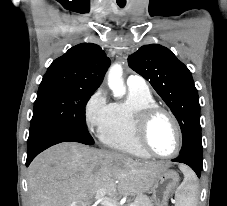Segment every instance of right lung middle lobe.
Instances as JSON below:
<instances>
[{
  "label": "right lung middle lobe",
  "mask_w": 227,
  "mask_h": 206,
  "mask_svg": "<svg viewBox=\"0 0 227 206\" xmlns=\"http://www.w3.org/2000/svg\"><path fill=\"white\" fill-rule=\"evenodd\" d=\"M92 94L93 91L40 85L29 137L44 130L56 129L71 132L88 144H93L94 140L83 121L84 105Z\"/></svg>",
  "instance_id": "right-lung-middle-lobe-1"
}]
</instances>
